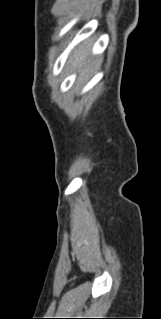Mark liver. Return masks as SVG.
I'll use <instances>...</instances> for the list:
<instances>
[{
	"label": "liver",
	"mask_w": 161,
	"mask_h": 319,
	"mask_svg": "<svg viewBox=\"0 0 161 319\" xmlns=\"http://www.w3.org/2000/svg\"><path fill=\"white\" fill-rule=\"evenodd\" d=\"M89 49L86 46H80L74 53V66L75 68L82 69V72H86L89 70L90 64L87 63L86 57Z\"/></svg>",
	"instance_id": "1"
}]
</instances>
